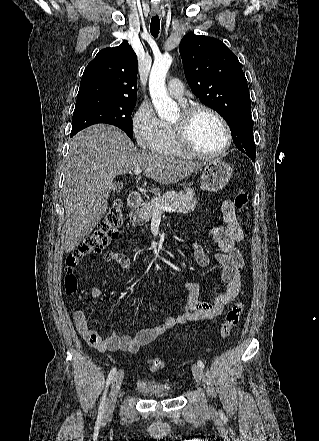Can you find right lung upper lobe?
Masks as SVG:
<instances>
[{"label":"right lung upper lobe","instance_id":"cb5924a9","mask_svg":"<svg viewBox=\"0 0 319 441\" xmlns=\"http://www.w3.org/2000/svg\"><path fill=\"white\" fill-rule=\"evenodd\" d=\"M137 56L127 42L102 49L84 70L77 99L136 101Z\"/></svg>","mask_w":319,"mask_h":441}]
</instances>
